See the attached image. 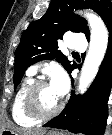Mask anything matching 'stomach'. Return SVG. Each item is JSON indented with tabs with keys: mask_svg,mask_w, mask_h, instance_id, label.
Listing matches in <instances>:
<instances>
[{
	"mask_svg": "<svg viewBox=\"0 0 112 135\" xmlns=\"http://www.w3.org/2000/svg\"><path fill=\"white\" fill-rule=\"evenodd\" d=\"M11 134H14V133L10 130H4V131L0 132V135H11ZM47 135H63V134L60 132L51 131Z\"/></svg>",
	"mask_w": 112,
	"mask_h": 135,
	"instance_id": "stomach-1",
	"label": "stomach"
}]
</instances>
